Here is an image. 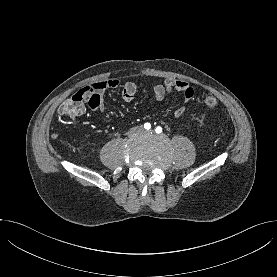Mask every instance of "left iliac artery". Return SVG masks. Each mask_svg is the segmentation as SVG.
Segmentation results:
<instances>
[{
	"instance_id": "left-iliac-artery-1",
	"label": "left iliac artery",
	"mask_w": 277,
	"mask_h": 277,
	"mask_svg": "<svg viewBox=\"0 0 277 277\" xmlns=\"http://www.w3.org/2000/svg\"><path fill=\"white\" fill-rule=\"evenodd\" d=\"M156 133H161L162 132V128L160 126L156 127L155 129Z\"/></svg>"
}]
</instances>
